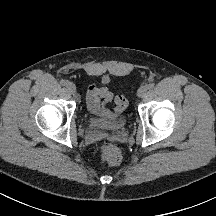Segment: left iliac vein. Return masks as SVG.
I'll use <instances>...</instances> for the list:
<instances>
[{
    "label": "left iliac vein",
    "instance_id": "obj_1",
    "mask_svg": "<svg viewBox=\"0 0 216 216\" xmlns=\"http://www.w3.org/2000/svg\"><path fill=\"white\" fill-rule=\"evenodd\" d=\"M147 90H148V87H147V86H141V87L138 89V92H137L138 96L141 97V98L144 97L145 94H146V92H147Z\"/></svg>",
    "mask_w": 216,
    "mask_h": 216
}]
</instances>
